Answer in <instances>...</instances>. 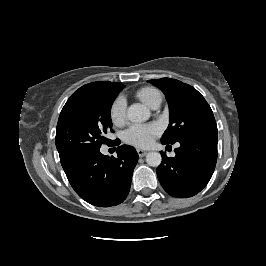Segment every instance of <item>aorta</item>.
Returning <instances> with one entry per match:
<instances>
[{"mask_svg":"<svg viewBox=\"0 0 266 266\" xmlns=\"http://www.w3.org/2000/svg\"><path fill=\"white\" fill-rule=\"evenodd\" d=\"M127 117L134 123L144 122L149 119L150 111L146 106L140 103H135L128 108ZM161 161L162 157L159 152H149L146 155V162L149 166L157 167L161 164Z\"/></svg>","mask_w":266,"mask_h":266,"instance_id":"762f6f07","label":"aorta"}]
</instances>
